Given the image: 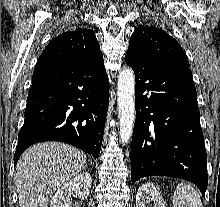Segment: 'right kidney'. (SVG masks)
Returning <instances> with one entry per match:
<instances>
[{"label":"right kidney","mask_w":220,"mask_h":207,"mask_svg":"<svg viewBox=\"0 0 220 207\" xmlns=\"http://www.w3.org/2000/svg\"><path fill=\"white\" fill-rule=\"evenodd\" d=\"M91 176L89 173H82L62 185L52 197L50 207H70L72 204L70 196L75 191L81 199L87 198L91 188Z\"/></svg>","instance_id":"1"}]
</instances>
